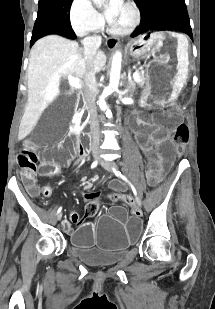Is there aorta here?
<instances>
[{
  "instance_id": "aorta-1",
  "label": "aorta",
  "mask_w": 215,
  "mask_h": 309,
  "mask_svg": "<svg viewBox=\"0 0 215 309\" xmlns=\"http://www.w3.org/2000/svg\"><path fill=\"white\" fill-rule=\"evenodd\" d=\"M96 6H102L104 0H93ZM121 62H122V52L121 50H116L115 54H113L112 62H111V70H110V80L108 86H106L104 92L100 94L98 104L101 110H104L106 116H112V112L105 100L106 96L113 92V90H117L119 86L120 80V70H121Z\"/></svg>"
}]
</instances>
